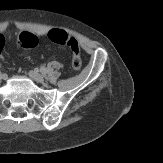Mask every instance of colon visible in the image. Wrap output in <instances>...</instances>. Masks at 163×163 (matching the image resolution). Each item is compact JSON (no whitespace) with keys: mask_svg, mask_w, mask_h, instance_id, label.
Masks as SVG:
<instances>
[{"mask_svg":"<svg viewBox=\"0 0 163 163\" xmlns=\"http://www.w3.org/2000/svg\"><path fill=\"white\" fill-rule=\"evenodd\" d=\"M48 39L61 46H66L71 52V66L73 69H80L82 60L80 55V47L76 39L71 37L66 31L61 29H53L48 32ZM38 38L30 32H22L18 35V43L24 49H32L38 45ZM5 46V40L0 36V57Z\"/></svg>","mask_w":163,"mask_h":163,"instance_id":"1","label":"colon"}]
</instances>
